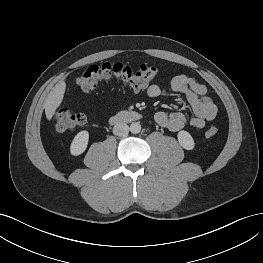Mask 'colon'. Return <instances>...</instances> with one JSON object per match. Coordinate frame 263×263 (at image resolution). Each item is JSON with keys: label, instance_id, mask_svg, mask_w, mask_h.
Here are the masks:
<instances>
[{"label": "colon", "instance_id": "1", "mask_svg": "<svg viewBox=\"0 0 263 263\" xmlns=\"http://www.w3.org/2000/svg\"><path fill=\"white\" fill-rule=\"evenodd\" d=\"M158 69L151 65L142 64L131 68L121 63H104L89 66L77 79V85L86 92L94 90L101 83L118 82L139 91L147 87L157 76ZM87 116L66 108L58 109L54 113V122L58 131H66L84 124ZM218 128L211 126L205 135H216Z\"/></svg>", "mask_w": 263, "mask_h": 263}]
</instances>
